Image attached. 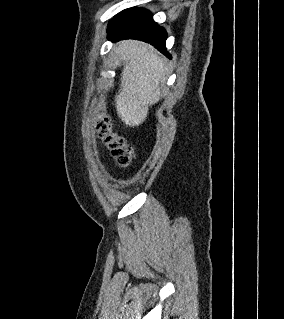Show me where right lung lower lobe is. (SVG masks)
Wrapping results in <instances>:
<instances>
[{"label":"right lung lower lobe","instance_id":"98d812e1","mask_svg":"<svg viewBox=\"0 0 284 319\" xmlns=\"http://www.w3.org/2000/svg\"><path fill=\"white\" fill-rule=\"evenodd\" d=\"M108 39H137L148 42L170 58L165 48L167 33L152 19L149 11L142 8H132L119 17L108 27Z\"/></svg>","mask_w":284,"mask_h":319}]
</instances>
